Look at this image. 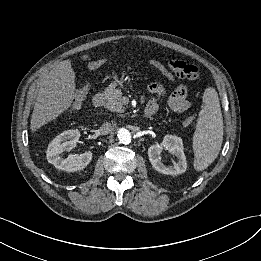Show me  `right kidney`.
<instances>
[{
  "label": "right kidney",
  "instance_id": "obj_1",
  "mask_svg": "<svg viewBox=\"0 0 261 261\" xmlns=\"http://www.w3.org/2000/svg\"><path fill=\"white\" fill-rule=\"evenodd\" d=\"M80 138L78 130H67L59 134L52 140L46 151V157L49 163L57 169L75 172L83 170L92 160V152L86 151L80 155H73L64 158L63 152L71 151Z\"/></svg>",
  "mask_w": 261,
  "mask_h": 261
}]
</instances>
